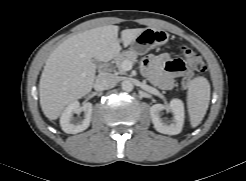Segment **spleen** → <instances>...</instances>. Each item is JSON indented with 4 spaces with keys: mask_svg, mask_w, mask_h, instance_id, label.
Wrapping results in <instances>:
<instances>
[{
    "mask_svg": "<svg viewBox=\"0 0 246 181\" xmlns=\"http://www.w3.org/2000/svg\"><path fill=\"white\" fill-rule=\"evenodd\" d=\"M210 83L202 76L191 80L187 91V107L192 127L203 120L210 102Z\"/></svg>",
    "mask_w": 246,
    "mask_h": 181,
    "instance_id": "obj_1",
    "label": "spleen"
}]
</instances>
